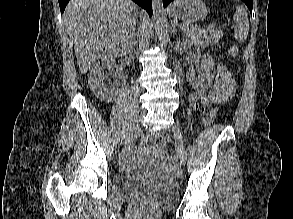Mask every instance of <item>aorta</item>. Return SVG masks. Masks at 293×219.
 <instances>
[{"mask_svg":"<svg viewBox=\"0 0 293 219\" xmlns=\"http://www.w3.org/2000/svg\"><path fill=\"white\" fill-rule=\"evenodd\" d=\"M153 24L160 41L166 38L167 19L163 11L162 0H152Z\"/></svg>","mask_w":293,"mask_h":219,"instance_id":"762f6f07","label":"aorta"}]
</instances>
